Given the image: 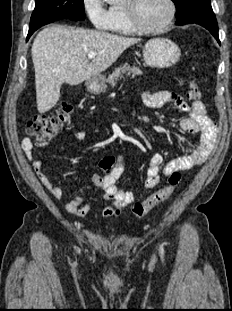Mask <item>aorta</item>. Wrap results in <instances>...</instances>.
<instances>
[{
  "label": "aorta",
  "mask_w": 232,
  "mask_h": 311,
  "mask_svg": "<svg viewBox=\"0 0 232 311\" xmlns=\"http://www.w3.org/2000/svg\"><path fill=\"white\" fill-rule=\"evenodd\" d=\"M105 2L109 3V4H116L118 3L120 0H104Z\"/></svg>",
  "instance_id": "1"
}]
</instances>
